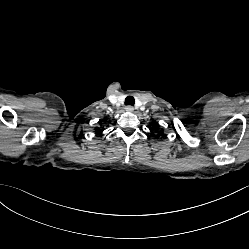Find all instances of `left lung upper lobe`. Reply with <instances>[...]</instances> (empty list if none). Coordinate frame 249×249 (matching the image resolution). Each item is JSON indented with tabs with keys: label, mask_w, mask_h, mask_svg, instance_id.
Returning <instances> with one entry per match:
<instances>
[{
	"label": "left lung upper lobe",
	"mask_w": 249,
	"mask_h": 249,
	"mask_svg": "<svg viewBox=\"0 0 249 249\" xmlns=\"http://www.w3.org/2000/svg\"><path fill=\"white\" fill-rule=\"evenodd\" d=\"M158 135H162V131H160V132L158 133Z\"/></svg>",
	"instance_id": "obj_1"
}]
</instances>
